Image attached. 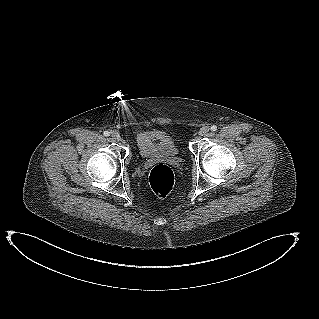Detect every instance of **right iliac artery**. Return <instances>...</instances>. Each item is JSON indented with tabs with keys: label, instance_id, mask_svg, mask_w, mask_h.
I'll return each instance as SVG.
<instances>
[{
	"label": "right iliac artery",
	"instance_id": "1",
	"mask_svg": "<svg viewBox=\"0 0 319 319\" xmlns=\"http://www.w3.org/2000/svg\"><path fill=\"white\" fill-rule=\"evenodd\" d=\"M104 136L108 137L110 135V132L109 131H104Z\"/></svg>",
	"mask_w": 319,
	"mask_h": 319
}]
</instances>
